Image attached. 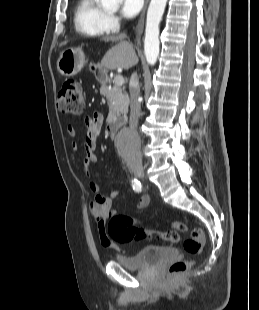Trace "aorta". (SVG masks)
Wrapping results in <instances>:
<instances>
[{"mask_svg": "<svg viewBox=\"0 0 259 310\" xmlns=\"http://www.w3.org/2000/svg\"><path fill=\"white\" fill-rule=\"evenodd\" d=\"M107 9H116L119 0H100ZM167 0H151L146 19L144 52L149 65H154L159 56V24L162 19ZM119 148L123 151L134 150L138 144V136L123 132L118 138Z\"/></svg>", "mask_w": 259, "mask_h": 310, "instance_id": "obj_1", "label": "aorta"}]
</instances>
